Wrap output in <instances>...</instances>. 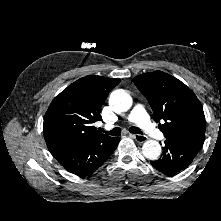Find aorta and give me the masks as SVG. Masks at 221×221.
Here are the masks:
<instances>
[{"label":"aorta","mask_w":221,"mask_h":221,"mask_svg":"<svg viewBox=\"0 0 221 221\" xmlns=\"http://www.w3.org/2000/svg\"><path fill=\"white\" fill-rule=\"evenodd\" d=\"M109 104L114 111L125 112L131 108L132 98L125 90L118 89L111 93ZM161 152V146L155 140H148L142 146V153L148 160H157Z\"/></svg>","instance_id":"aorta-1"}]
</instances>
